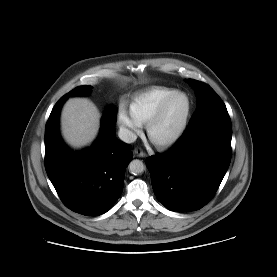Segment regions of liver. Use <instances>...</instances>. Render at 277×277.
Wrapping results in <instances>:
<instances>
[{
    "instance_id": "6515ba94",
    "label": "liver",
    "mask_w": 277,
    "mask_h": 277,
    "mask_svg": "<svg viewBox=\"0 0 277 277\" xmlns=\"http://www.w3.org/2000/svg\"><path fill=\"white\" fill-rule=\"evenodd\" d=\"M61 125L65 140L74 148H80L90 144L97 136L100 113L90 100L72 98L63 108Z\"/></svg>"
}]
</instances>
